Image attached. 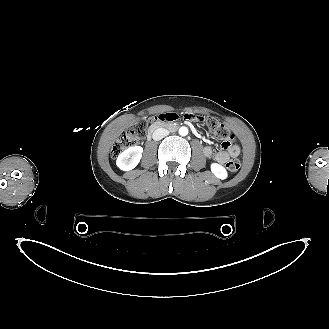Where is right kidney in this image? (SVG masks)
I'll return each mask as SVG.
<instances>
[{
	"label": "right kidney",
	"mask_w": 329,
	"mask_h": 329,
	"mask_svg": "<svg viewBox=\"0 0 329 329\" xmlns=\"http://www.w3.org/2000/svg\"><path fill=\"white\" fill-rule=\"evenodd\" d=\"M142 153L143 148L141 146H131L119 154L116 165L123 171H130L138 165Z\"/></svg>",
	"instance_id": "ca27d5eb"
}]
</instances>
